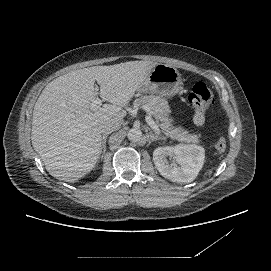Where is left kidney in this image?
Returning a JSON list of instances; mask_svg holds the SVG:
<instances>
[{"label": "left kidney", "mask_w": 271, "mask_h": 271, "mask_svg": "<svg viewBox=\"0 0 271 271\" xmlns=\"http://www.w3.org/2000/svg\"><path fill=\"white\" fill-rule=\"evenodd\" d=\"M204 159V148L195 144L158 147L153 152V161L160 174L179 183L192 182L202 169Z\"/></svg>", "instance_id": "1"}]
</instances>
